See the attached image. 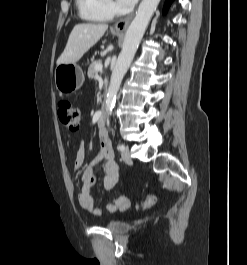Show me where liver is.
Returning <instances> with one entry per match:
<instances>
[{"instance_id": "1", "label": "liver", "mask_w": 247, "mask_h": 265, "mask_svg": "<svg viewBox=\"0 0 247 265\" xmlns=\"http://www.w3.org/2000/svg\"><path fill=\"white\" fill-rule=\"evenodd\" d=\"M107 29V24L83 23L75 25L63 53L57 60V65L78 62L100 40Z\"/></svg>"}]
</instances>
